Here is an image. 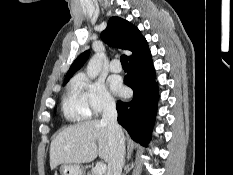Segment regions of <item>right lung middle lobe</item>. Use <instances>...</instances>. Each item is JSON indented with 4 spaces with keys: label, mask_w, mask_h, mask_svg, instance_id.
Wrapping results in <instances>:
<instances>
[{
    "label": "right lung middle lobe",
    "mask_w": 233,
    "mask_h": 175,
    "mask_svg": "<svg viewBox=\"0 0 233 175\" xmlns=\"http://www.w3.org/2000/svg\"><path fill=\"white\" fill-rule=\"evenodd\" d=\"M67 82H68V80H65V81H64V85H65Z\"/></svg>",
    "instance_id": "right-lung-middle-lobe-1"
}]
</instances>
